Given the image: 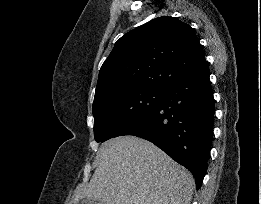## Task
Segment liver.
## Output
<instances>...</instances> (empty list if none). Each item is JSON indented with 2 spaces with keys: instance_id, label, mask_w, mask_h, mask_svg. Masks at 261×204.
Listing matches in <instances>:
<instances>
[{
  "instance_id": "obj_1",
  "label": "liver",
  "mask_w": 261,
  "mask_h": 204,
  "mask_svg": "<svg viewBox=\"0 0 261 204\" xmlns=\"http://www.w3.org/2000/svg\"><path fill=\"white\" fill-rule=\"evenodd\" d=\"M98 166L86 185H79L73 202L85 198L105 204H190L195 181L191 173L153 143L120 136L104 142Z\"/></svg>"
}]
</instances>
